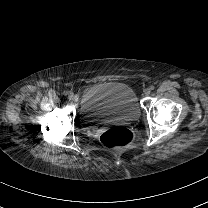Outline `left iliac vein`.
I'll return each mask as SVG.
<instances>
[{
    "label": "left iliac vein",
    "instance_id": "4c4485c4",
    "mask_svg": "<svg viewBox=\"0 0 208 208\" xmlns=\"http://www.w3.org/2000/svg\"><path fill=\"white\" fill-rule=\"evenodd\" d=\"M150 93H151V90H150L149 88H146V89L144 90V94H145L146 96L150 95Z\"/></svg>",
    "mask_w": 208,
    "mask_h": 208
}]
</instances>
